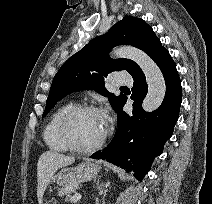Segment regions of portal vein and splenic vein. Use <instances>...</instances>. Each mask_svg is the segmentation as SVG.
<instances>
[{"mask_svg": "<svg viewBox=\"0 0 212 204\" xmlns=\"http://www.w3.org/2000/svg\"><path fill=\"white\" fill-rule=\"evenodd\" d=\"M81 199V195L80 194H75L72 198H71V202H77Z\"/></svg>", "mask_w": 212, "mask_h": 204, "instance_id": "obj_1", "label": "portal vein and splenic vein"}]
</instances>
